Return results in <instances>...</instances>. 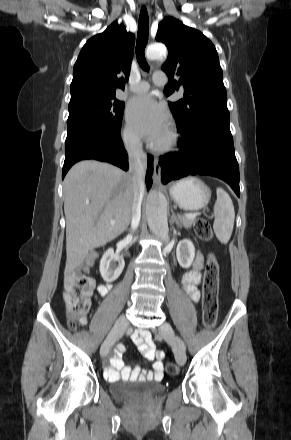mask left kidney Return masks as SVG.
<instances>
[{"instance_id":"obj_1","label":"left kidney","mask_w":291,"mask_h":440,"mask_svg":"<svg viewBox=\"0 0 291 440\" xmlns=\"http://www.w3.org/2000/svg\"><path fill=\"white\" fill-rule=\"evenodd\" d=\"M178 263L182 268H189L195 257V247L190 240H182L176 249Z\"/></svg>"}]
</instances>
